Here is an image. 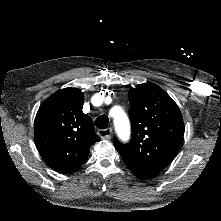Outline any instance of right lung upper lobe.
<instances>
[{"mask_svg":"<svg viewBox=\"0 0 221 221\" xmlns=\"http://www.w3.org/2000/svg\"><path fill=\"white\" fill-rule=\"evenodd\" d=\"M80 89L64 88L48 97L35 118V144L44 161L59 173H73L100 141L91 118L82 112Z\"/></svg>","mask_w":221,"mask_h":221,"instance_id":"right-lung-upper-lobe-1","label":"right lung upper lobe"}]
</instances>
